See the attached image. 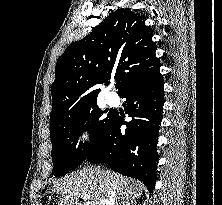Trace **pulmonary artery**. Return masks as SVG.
Returning a JSON list of instances; mask_svg holds the SVG:
<instances>
[{"label": "pulmonary artery", "mask_w": 222, "mask_h": 205, "mask_svg": "<svg viewBox=\"0 0 222 205\" xmlns=\"http://www.w3.org/2000/svg\"><path fill=\"white\" fill-rule=\"evenodd\" d=\"M106 101L109 105H114L116 102V98L113 94H107L106 95Z\"/></svg>", "instance_id": "e3ab8cb5"}]
</instances>
